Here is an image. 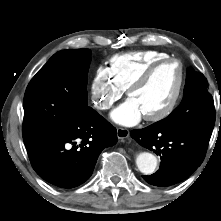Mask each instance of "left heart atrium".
Wrapping results in <instances>:
<instances>
[{"mask_svg": "<svg viewBox=\"0 0 221 221\" xmlns=\"http://www.w3.org/2000/svg\"><path fill=\"white\" fill-rule=\"evenodd\" d=\"M111 117L118 124L132 126L141 120L143 113L137 102L128 98L112 112Z\"/></svg>", "mask_w": 221, "mask_h": 221, "instance_id": "39dd6f15", "label": "left heart atrium"}]
</instances>
